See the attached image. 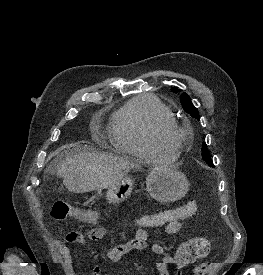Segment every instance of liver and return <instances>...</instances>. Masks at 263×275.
I'll list each match as a JSON object with an SVG mask.
<instances>
[{
	"instance_id": "obj_1",
	"label": "liver",
	"mask_w": 263,
	"mask_h": 275,
	"mask_svg": "<svg viewBox=\"0 0 263 275\" xmlns=\"http://www.w3.org/2000/svg\"><path fill=\"white\" fill-rule=\"evenodd\" d=\"M137 166L122 157L83 151L68 155L57 166V175L70 192L85 193L113 186Z\"/></svg>"
}]
</instances>
